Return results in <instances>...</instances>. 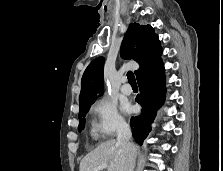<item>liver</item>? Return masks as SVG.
Instances as JSON below:
<instances>
[{
	"instance_id": "1",
	"label": "liver",
	"mask_w": 223,
	"mask_h": 171,
	"mask_svg": "<svg viewBox=\"0 0 223 171\" xmlns=\"http://www.w3.org/2000/svg\"><path fill=\"white\" fill-rule=\"evenodd\" d=\"M136 147V146H135ZM108 164V171H124L125 152L114 139L103 142L80 162L79 171H94L100 164Z\"/></svg>"
}]
</instances>
